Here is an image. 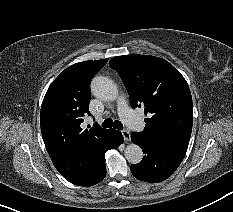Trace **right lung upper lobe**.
<instances>
[{"label":"right lung upper lobe","mask_w":233,"mask_h":212,"mask_svg":"<svg viewBox=\"0 0 233 212\" xmlns=\"http://www.w3.org/2000/svg\"><path fill=\"white\" fill-rule=\"evenodd\" d=\"M108 59L76 63L52 82L43 99L40 124L49 156L59 173L74 183L87 175L110 129H82L90 115V82Z\"/></svg>","instance_id":"right-lung-upper-lobe-1"}]
</instances>
